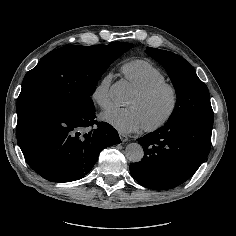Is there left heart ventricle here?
Returning a JSON list of instances; mask_svg holds the SVG:
<instances>
[{
  "label": "left heart ventricle",
  "mask_w": 236,
  "mask_h": 236,
  "mask_svg": "<svg viewBox=\"0 0 236 236\" xmlns=\"http://www.w3.org/2000/svg\"><path fill=\"white\" fill-rule=\"evenodd\" d=\"M128 105L139 111L144 126L152 125L168 113L171 106V94L164 90L149 99H141L134 93Z\"/></svg>",
  "instance_id": "left-heart-ventricle-1"
}]
</instances>
